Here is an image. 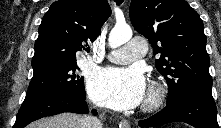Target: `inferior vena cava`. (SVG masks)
<instances>
[{"label":"inferior vena cava","instance_id":"602c4592","mask_svg":"<svg viewBox=\"0 0 221 128\" xmlns=\"http://www.w3.org/2000/svg\"><path fill=\"white\" fill-rule=\"evenodd\" d=\"M83 127L84 128H102V123L101 121L93 116H87L85 117L83 121Z\"/></svg>","mask_w":221,"mask_h":128}]
</instances>
